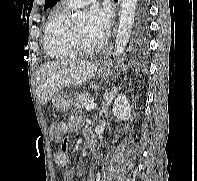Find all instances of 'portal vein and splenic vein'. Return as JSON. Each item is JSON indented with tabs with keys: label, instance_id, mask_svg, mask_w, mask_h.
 Returning a JSON list of instances; mask_svg holds the SVG:
<instances>
[{
	"label": "portal vein and splenic vein",
	"instance_id": "obj_1",
	"mask_svg": "<svg viewBox=\"0 0 197 181\" xmlns=\"http://www.w3.org/2000/svg\"><path fill=\"white\" fill-rule=\"evenodd\" d=\"M96 107V103H90V104H88L87 106H86V110L87 111H91V110H93L94 108Z\"/></svg>",
	"mask_w": 197,
	"mask_h": 181
}]
</instances>
